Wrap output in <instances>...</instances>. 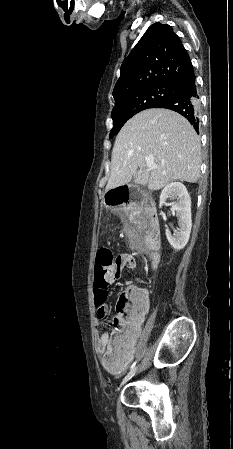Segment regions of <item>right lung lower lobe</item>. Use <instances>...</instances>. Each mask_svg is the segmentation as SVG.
Returning <instances> with one entry per match:
<instances>
[{
	"instance_id": "1",
	"label": "right lung lower lobe",
	"mask_w": 233,
	"mask_h": 449,
	"mask_svg": "<svg viewBox=\"0 0 233 449\" xmlns=\"http://www.w3.org/2000/svg\"><path fill=\"white\" fill-rule=\"evenodd\" d=\"M173 96L159 103L155 108H166L183 115L198 132L200 101L195 75L171 85Z\"/></svg>"
}]
</instances>
